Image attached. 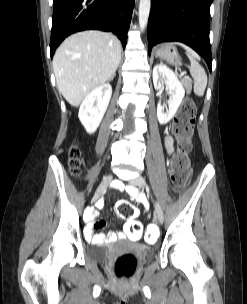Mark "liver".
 <instances>
[{
	"label": "liver",
	"instance_id": "6515ba94",
	"mask_svg": "<svg viewBox=\"0 0 247 304\" xmlns=\"http://www.w3.org/2000/svg\"><path fill=\"white\" fill-rule=\"evenodd\" d=\"M120 60L121 43L111 33L91 30L69 36L53 58L59 92L77 107L92 90L113 79Z\"/></svg>",
	"mask_w": 247,
	"mask_h": 304
}]
</instances>
